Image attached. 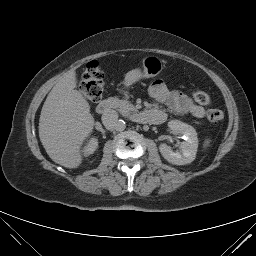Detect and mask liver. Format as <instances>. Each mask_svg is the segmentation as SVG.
I'll list each match as a JSON object with an SVG mask.
<instances>
[{
	"label": "liver",
	"instance_id": "obj_1",
	"mask_svg": "<svg viewBox=\"0 0 256 256\" xmlns=\"http://www.w3.org/2000/svg\"><path fill=\"white\" fill-rule=\"evenodd\" d=\"M76 87V72L71 70L48 94L39 119L43 147L55 163L66 168L82 163L80 149L94 126L90 105Z\"/></svg>",
	"mask_w": 256,
	"mask_h": 256
}]
</instances>
